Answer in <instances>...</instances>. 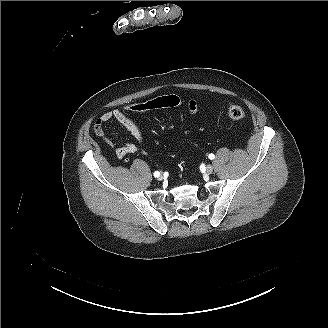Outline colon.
<instances>
[{
  "instance_id": "1",
  "label": "colon",
  "mask_w": 328,
  "mask_h": 328,
  "mask_svg": "<svg viewBox=\"0 0 328 328\" xmlns=\"http://www.w3.org/2000/svg\"><path fill=\"white\" fill-rule=\"evenodd\" d=\"M180 104V99L176 95H165L156 97L144 102H139L132 104L127 107L126 111L129 114H141L147 111L166 108V107H176ZM227 114L232 120H241L245 117V111L242 107L238 105L231 104L227 108ZM95 131L97 134H102L101 124L97 121L95 126Z\"/></svg>"
}]
</instances>
